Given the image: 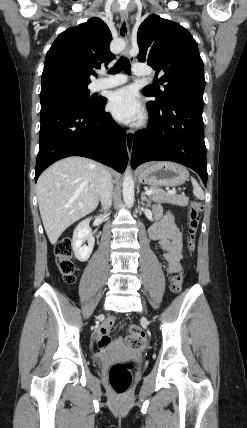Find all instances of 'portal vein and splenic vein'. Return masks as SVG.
<instances>
[{"label":"portal vein and splenic vein","instance_id":"portal-vein-and-splenic-vein-1","mask_svg":"<svg viewBox=\"0 0 247 428\" xmlns=\"http://www.w3.org/2000/svg\"><path fill=\"white\" fill-rule=\"evenodd\" d=\"M145 193H146L147 195H151V194H153V193H154V191L149 189V190H146V191H145ZM168 194L174 195V194H176V191H175V190H169V191H168Z\"/></svg>","mask_w":247,"mask_h":428}]
</instances>
